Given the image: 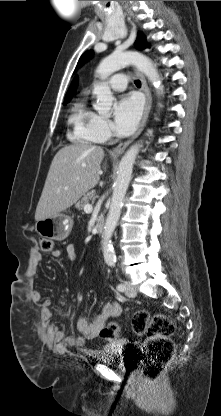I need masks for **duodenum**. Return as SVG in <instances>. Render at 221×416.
Returning <instances> with one entry per match:
<instances>
[{
  "mask_svg": "<svg viewBox=\"0 0 221 416\" xmlns=\"http://www.w3.org/2000/svg\"><path fill=\"white\" fill-rule=\"evenodd\" d=\"M104 230H105V219L103 217H99L96 221L97 234H102Z\"/></svg>",
  "mask_w": 221,
  "mask_h": 416,
  "instance_id": "1",
  "label": "duodenum"
}]
</instances>
